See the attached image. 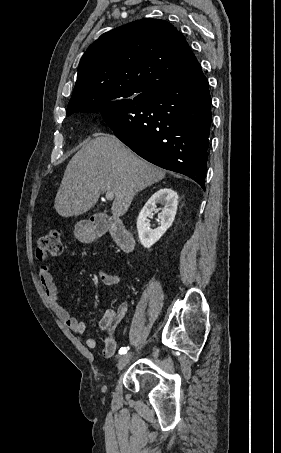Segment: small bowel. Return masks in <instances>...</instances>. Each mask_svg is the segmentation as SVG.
<instances>
[{
    "label": "small bowel",
    "instance_id": "c3829d8e",
    "mask_svg": "<svg viewBox=\"0 0 281 453\" xmlns=\"http://www.w3.org/2000/svg\"><path fill=\"white\" fill-rule=\"evenodd\" d=\"M41 284L43 285L49 303L58 312L60 317L64 320L68 328L76 334L84 335L86 333V325L84 321L71 315L68 307L60 301V297L54 282L53 275L48 265H40L38 267ZM100 280L104 286H116L120 282V277L117 274L100 273ZM127 305L124 303L117 312L114 309H107L104 315L97 323V328L100 331H105L107 336L104 341L103 356L110 359L115 356L118 349V341L114 335V328L122 318L128 316ZM85 345L90 349H95L97 346V339L94 336L85 337Z\"/></svg>",
    "mask_w": 281,
    "mask_h": 453
}]
</instances>
